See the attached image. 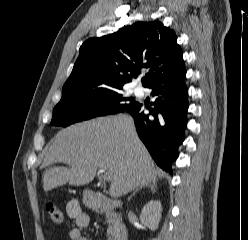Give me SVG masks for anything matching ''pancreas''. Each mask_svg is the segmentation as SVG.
I'll use <instances>...</instances> for the list:
<instances>
[{
  "label": "pancreas",
  "instance_id": "cf45deb5",
  "mask_svg": "<svg viewBox=\"0 0 248 240\" xmlns=\"http://www.w3.org/2000/svg\"><path fill=\"white\" fill-rule=\"evenodd\" d=\"M106 221L109 224L107 229L108 240H113L114 237L118 234V227L120 225V218L116 213H110L106 215Z\"/></svg>",
  "mask_w": 248,
  "mask_h": 240
}]
</instances>
